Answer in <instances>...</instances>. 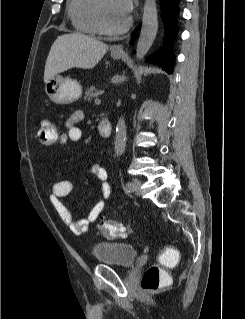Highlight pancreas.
<instances>
[{
    "label": "pancreas",
    "instance_id": "obj_1",
    "mask_svg": "<svg viewBox=\"0 0 245 319\" xmlns=\"http://www.w3.org/2000/svg\"><path fill=\"white\" fill-rule=\"evenodd\" d=\"M98 93V90L95 86H90L85 92L84 99L90 100L92 97H96Z\"/></svg>",
    "mask_w": 245,
    "mask_h": 319
}]
</instances>
